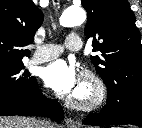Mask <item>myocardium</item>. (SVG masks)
Listing matches in <instances>:
<instances>
[{
  "instance_id": "myocardium-1",
  "label": "myocardium",
  "mask_w": 142,
  "mask_h": 128,
  "mask_svg": "<svg viewBox=\"0 0 142 128\" xmlns=\"http://www.w3.org/2000/svg\"><path fill=\"white\" fill-rule=\"evenodd\" d=\"M82 86L86 89L85 96L74 95L68 103L79 110L91 111L99 108L107 98V87L103 79L92 70L82 73Z\"/></svg>"
}]
</instances>
